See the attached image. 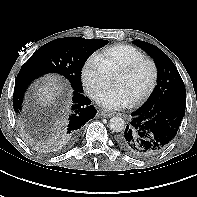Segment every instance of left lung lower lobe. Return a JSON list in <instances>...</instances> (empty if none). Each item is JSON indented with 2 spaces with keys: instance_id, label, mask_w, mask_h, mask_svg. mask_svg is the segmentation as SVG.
Instances as JSON below:
<instances>
[{
  "instance_id": "1",
  "label": "left lung lower lobe",
  "mask_w": 197,
  "mask_h": 197,
  "mask_svg": "<svg viewBox=\"0 0 197 197\" xmlns=\"http://www.w3.org/2000/svg\"><path fill=\"white\" fill-rule=\"evenodd\" d=\"M186 94L162 98L151 107H140L117 138L120 149L135 158H149L174 139L185 115Z\"/></svg>"
}]
</instances>
